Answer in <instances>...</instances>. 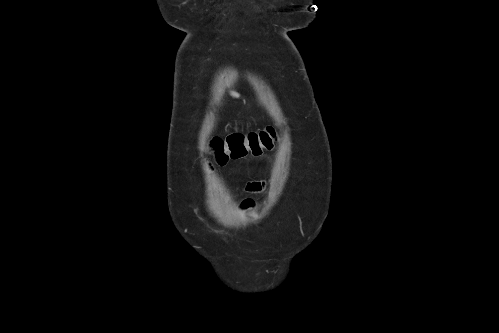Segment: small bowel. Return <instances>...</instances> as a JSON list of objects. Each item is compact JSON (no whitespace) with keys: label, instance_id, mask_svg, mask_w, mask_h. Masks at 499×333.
Returning <instances> with one entry per match:
<instances>
[{"label":"small bowel","instance_id":"1","mask_svg":"<svg viewBox=\"0 0 499 333\" xmlns=\"http://www.w3.org/2000/svg\"><path fill=\"white\" fill-rule=\"evenodd\" d=\"M262 188H263L262 183L254 182V183H250L247 186V191L248 192H259L262 190ZM252 206H253V203L250 200H246L242 203V209H248V208H251Z\"/></svg>","mask_w":499,"mask_h":333}]
</instances>
